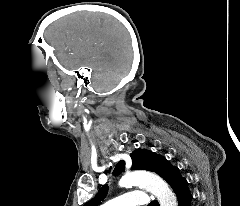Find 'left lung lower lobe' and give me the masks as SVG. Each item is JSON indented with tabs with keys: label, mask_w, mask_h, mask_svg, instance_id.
Listing matches in <instances>:
<instances>
[{
	"label": "left lung lower lobe",
	"mask_w": 240,
	"mask_h": 206,
	"mask_svg": "<svg viewBox=\"0 0 240 206\" xmlns=\"http://www.w3.org/2000/svg\"><path fill=\"white\" fill-rule=\"evenodd\" d=\"M174 190L179 206H191L192 195L188 188V182L180 174V170L175 166H170L163 178ZM154 206H159L157 202L154 203Z\"/></svg>",
	"instance_id": "0a47b994"
}]
</instances>
